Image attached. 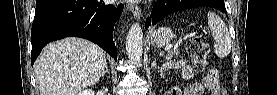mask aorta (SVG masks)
I'll list each match as a JSON object with an SVG mask.
<instances>
[{
	"mask_svg": "<svg viewBox=\"0 0 277 95\" xmlns=\"http://www.w3.org/2000/svg\"><path fill=\"white\" fill-rule=\"evenodd\" d=\"M126 52L128 58L139 63L143 54V32L139 24H133L126 37Z\"/></svg>",
	"mask_w": 277,
	"mask_h": 95,
	"instance_id": "aorta-1",
	"label": "aorta"
}]
</instances>
